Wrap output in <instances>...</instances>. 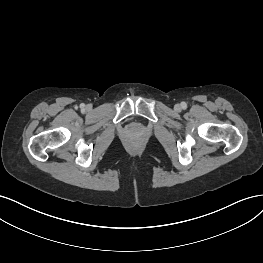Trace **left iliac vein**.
<instances>
[{
    "instance_id": "obj_1",
    "label": "left iliac vein",
    "mask_w": 263,
    "mask_h": 263,
    "mask_svg": "<svg viewBox=\"0 0 263 263\" xmlns=\"http://www.w3.org/2000/svg\"><path fill=\"white\" fill-rule=\"evenodd\" d=\"M174 109H175L176 111H180V110H181V106L177 104V105H175Z\"/></svg>"
}]
</instances>
